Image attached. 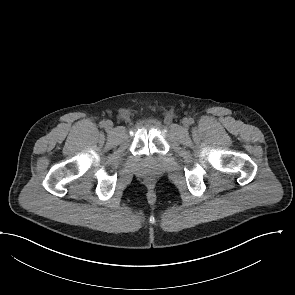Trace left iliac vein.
Returning a JSON list of instances; mask_svg holds the SVG:
<instances>
[{"label": "left iliac vein", "instance_id": "left-iliac-vein-1", "mask_svg": "<svg viewBox=\"0 0 295 295\" xmlns=\"http://www.w3.org/2000/svg\"><path fill=\"white\" fill-rule=\"evenodd\" d=\"M182 124H183V126H184L185 128H187V127L190 125V123H189V119L184 118L183 121H182Z\"/></svg>", "mask_w": 295, "mask_h": 295}]
</instances>
